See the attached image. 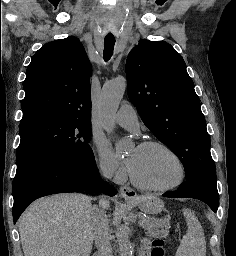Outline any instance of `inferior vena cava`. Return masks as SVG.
Returning <instances> with one entry per match:
<instances>
[{"instance_id": "inferior-vena-cava-1", "label": "inferior vena cava", "mask_w": 236, "mask_h": 256, "mask_svg": "<svg viewBox=\"0 0 236 256\" xmlns=\"http://www.w3.org/2000/svg\"><path fill=\"white\" fill-rule=\"evenodd\" d=\"M101 172L104 178H110V172L108 168L101 166ZM101 204L104 206V204H106L105 200H101L100 208ZM93 210H95V208H93ZM92 230H94V240H96L97 256H111L112 250L110 246V240H112V238L109 234L107 220L101 216L100 224H98L96 228H92Z\"/></svg>"}]
</instances>
